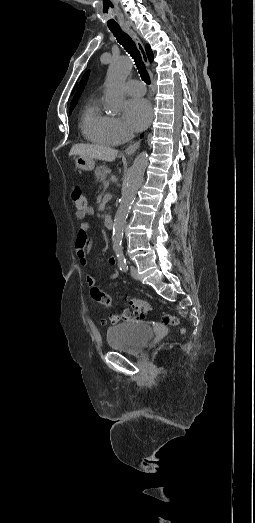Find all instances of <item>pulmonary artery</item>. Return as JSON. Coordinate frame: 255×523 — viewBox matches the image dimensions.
I'll return each instance as SVG.
<instances>
[{
  "instance_id": "e3ab8cb5",
  "label": "pulmonary artery",
  "mask_w": 255,
  "mask_h": 523,
  "mask_svg": "<svg viewBox=\"0 0 255 523\" xmlns=\"http://www.w3.org/2000/svg\"><path fill=\"white\" fill-rule=\"evenodd\" d=\"M125 89L130 93V98L132 100H137L139 95H143L146 91L145 85L138 80H130L127 82Z\"/></svg>"
}]
</instances>
